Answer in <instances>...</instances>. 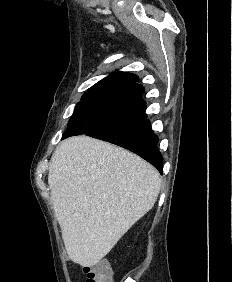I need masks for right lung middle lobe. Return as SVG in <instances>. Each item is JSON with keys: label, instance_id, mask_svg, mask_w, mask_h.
<instances>
[{"label": "right lung middle lobe", "instance_id": "dd1d6c3e", "mask_svg": "<svg viewBox=\"0 0 232 282\" xmlns=\"http://www.w3.org/2000/svg\"><path fill=\"white\" fill-rule=\"evenodd\" d=\"M141 92L106 91L84 94L63 133V138L111 130L146 118Z\"/></svg>", "mask_w": 232, "mask_h": 282}]
</instances>
